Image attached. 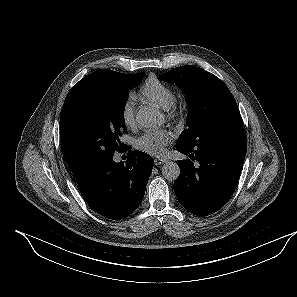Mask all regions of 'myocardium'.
Returning <instances> with one entry per match:
<instances>
[{
	"label": "myocardium",
	"mask_w": 297,
	"mask_h": 297,
	"mask_svg": "<svg viewBox=\"0 0 297 297\" xmlns=\"http://www.w3.org/2000/svg\"><path fill=\"white\" fill-rule=\"evenodd\" d=\"M168 114L170 116H173L175 114V107L174 106H171L169 109H168Z\"/></svg>",
	"instance_id": "obj_1"
}]
</instances>
